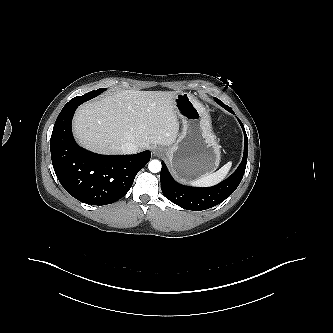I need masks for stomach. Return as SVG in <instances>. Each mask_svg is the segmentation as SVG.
I'll return each mask as SVG.
<instances>
[{
	"instance_id": "1",
	"label": "stomach",
	"mask_w": 333,
	"mask_h": 333,
	"mask_svg": "<svg viewBox=\"0 0 333 333\" xmlns=\"http://www.w3.org/2000/svg\"><path fill=\"white\" fill-rule=\"evenodd\" d=\"M182 132L166 155L173 174L183 182L213 173L220 164V145L212 131L207 109L189 93L174 98Z\"/></svg>"
}]
</instances>
